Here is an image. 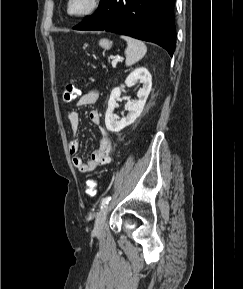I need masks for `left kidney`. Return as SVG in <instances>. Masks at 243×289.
<instances>
[{
    "label": "left kidney",
    "instance_id": "5707ae66",
    "mask_svg": "<svg viewBox=\"0 0 243 289\" xmlns=\"http://www.w3.org/2000/svg\"><path fill=\"white\" fill-rule=\"evenodd\" d=\"M137 81H140L143 84L142 88L137 93L138 101L134 102L129 100L127 102L126 108L129 113L119 121L114 119L113 112L116 106V99L120 97L121 90L124 88V85L116 87L112 90L108 101V108L105 114V125L107 130L111 132H119L126 126L132 124L136 118L140 116L152 87V77L146 68L140 67L135 69L126 78L125 84L127 86H131Z\"/></svg>",
    "mask_w": 243,
    "mask_h": 289
}]
</instances>
